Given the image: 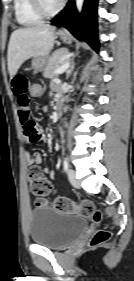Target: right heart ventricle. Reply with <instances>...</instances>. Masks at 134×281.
<instances>
[{
    "mask_svg": "<svg viewBox=\"0 0 134 281\" xmlns=\"http://www.w3.org/2000/svg\"><path fill=\"white\" fill-rule=\"evenodd\" d=\"M13 7L16 20L22 26H33L43 19L34 9L31 0H13Z\"/></svg>",
    "mask_w": 134,
    "mask_h": 281,
    "instance_id": "e07e8e85",
    "label": "right heart ventricle"
}]
</instances>
